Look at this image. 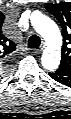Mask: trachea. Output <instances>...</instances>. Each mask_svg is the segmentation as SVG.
<instances>
[{
	"instance_id": "trachea-1",
	"label": "trachea",
	"mask_w": 71,
	"mask_h": 119,
	"mask_svg": "<svg viewBox=\"0 0 71 119\" xmlns=\"http://www.w3.org/2000/svg\"><path fill=\"white\" fill-rule=\"evenodd\" d=\"M41 44V39L37 35H32L28 40V47L29 48H39Z\"/></svg>"
}]
</instances>
